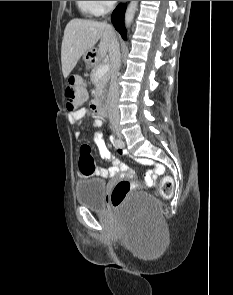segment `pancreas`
Returning <instances> with one entry per match:
<instances>
[{"label":"pancreas","instance_id":"pancreas-1","mask_svg":"<svg viewBox=\"0 0 233 295\" xmlns=\"http://www.w3.org/2000/svg\"><path fill=\"white\" fill-rule=\"evenodd\" d=\"M103 64H104L103 62H98L97 64H95L92 71H91V74H90V78H91L92 82H94L96 85V93L97 94H99L103 90V88H105L107 82L110 79V72H106L105 74H103L100 77H98L96 75L97 70Z\"/></svg>","mask_w":233,"mask_h":295}]
</instances>
